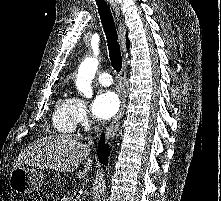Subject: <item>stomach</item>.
Listing matches in <instances>:
<instances>
[{
  "instance_id": "obj_1",
  "label": "stomach",
  "mask_w": 221,
  "mask_h": 201,
  "mask_svg": "<svg viewBox=\"0 0 221 201\" xmlns=\"http://www.w3.org/2000/svg\"><path fill=\"white\" fill-rule=\"evenodd\" d=\"M43 181V174L40 171L32 167L19 166L10 172L9 187L17 194H29L38 191Z\"/></svg>"
}]
</instances>
